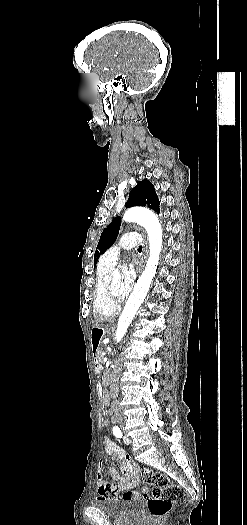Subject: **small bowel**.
<instances>
[{"label":"small bowel","mask_w":247,"mask_h":525,"mask_svg":"<svg viewBox=\"0 0 247 525\" xmlns=\"http://www.w3.org/2000/svg\"><path fill=\"white\" fill-rule=\"evenodd\" d=\"M103 446L106 453L117 464L118 468L124 475V477L119 480V475L115 469L110 468L108 470L110 477L113 480L118 481V492H122L121 496H116L115 498H112V500L122 499L125 501H130L145 494L148 491L147 487H143L141 491L133 490V487L135 486L139 476V466L137 463L134 462L132 458L129 457L123 450L118 449L114 442L107 436L103 438ZM102 466L103 464L100 461L98 463L99 471L97 473V482L99 484V495L101 497H106L108 492L112 490L113 485L109 481H104L101 471Z\"/></svg>","instance_id":"c3829d8e"}]
</instances>
